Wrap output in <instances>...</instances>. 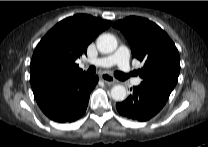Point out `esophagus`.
Masks as SVG:
<instances>
[{
    "mask_svg": "<svg viewBox=\"0 0 208 147\" xmlns=\"http://www.w3.org/2000/svg\"><path fill=\"white\" fill-rule=\"evenodd\" d=\"M100 78L102 79V81H104L108 85H113L117 83V80L113 76L107 73L101 74Z\"/></svg>",
    "mask_w": 208,
    "mask_h": 147,
    "instance_id": "esophagus-1",
    "label": "esophagus"
}]
</instances>
